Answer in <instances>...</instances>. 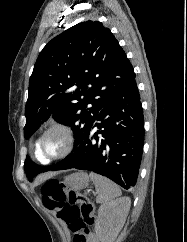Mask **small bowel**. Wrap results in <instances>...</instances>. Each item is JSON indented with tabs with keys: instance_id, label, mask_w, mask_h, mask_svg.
Returning <instances> with one entry per match:
<instances>
[{
	"instance_id": "c3829d8e",
	"label": "small bowel",
	"mask_w": 187,
	"mask_h": 242,
	"mask_svg": "<svg viewBox=\"0 0 187 242\" xmlns=\"http://www.w3.org/2000/svg\"><path fill=\"white\" fill-rule=\"evenodd\" d=\"M93 238H94L95 240H97L95 236H93Z\"/></svg>"
}]
</instances>
